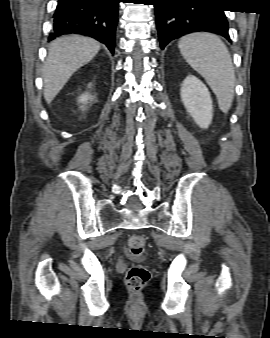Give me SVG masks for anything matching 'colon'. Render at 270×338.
Instances as JSON below:
<instances>
[{
    "label": "colon",
    "instance_id": "obj_1",
    "mask_svg": "<svg viewBox=\"0 0 270 338\" xmlns=\"http://www.w3.org/2000/svg\"><path fill=\"white\" fill-rule=\"evenodd\" d=\"M128 248L134 263L129 267L125 281L130 289L139 291L146 286L150 279L149 270L140 263V259L146 249L145 237L142 235L130 236L128 239Z\"/></svg>",
    "mask_w": 270,
    "mask_h": 338
}]
</instances>
